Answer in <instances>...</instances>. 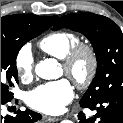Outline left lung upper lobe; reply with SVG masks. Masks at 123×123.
Wrapping results in <instances>:
<instances>
[{
	"label": "left lung upper lobe",
	"mask_w": 123,
	"mask_h": 123,
	"mask_svg": "<svg viewBox=\"0 0 123 123\" xmlns=\"http://www.w3.org/2000/svg\"><path fill=\"white\" fill-rule=\"evenodd\" d=\"M67 27L85 35L93 45L97 71L81 101L123 94V33L109 18L93 13H74L61 17L53 30Z\"/></svg>",
	"instance_id": "5c2ea615"
}]
</instances>
